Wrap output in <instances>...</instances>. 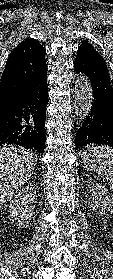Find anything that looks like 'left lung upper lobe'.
<instances>
[{"label":"left lung upper lobe","mask_w":113,"mask_h":279,"mask_svg":"<svg viewBox=\"0 0 113 279\" xmlns=\"http://www.w3.org/2000/svg\"><path fill=\"white\" fill-rule=\"evenodd\" d=\"M77 52H82L92 58H95L103 63H105L104 58L94 49L92 44L87 41H84L80 46ZM106 64V63H105Z\"/></svg>","instance_id":"1"}]
</instances>
